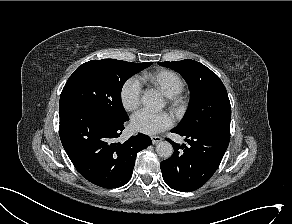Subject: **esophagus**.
I'll return each instance as SVG.
<instances>
[{"mask_svg": "<svg viewBox=\"0 0 292 224\" xmlns=\"http://www.w3.org/2000/svg\"><path fill=\"white\" fill-rule=\"evenodd\" d=\"M151 140L153 144H158L159 142L162 141V138L160 136H152Z\"/></svg>", "mask_w": 292, "mask_h": 224, "instance_id": "obj_1", "label": "esophagus"}]
</instances>
